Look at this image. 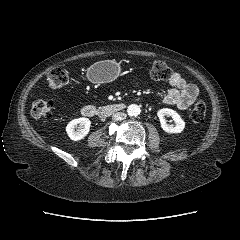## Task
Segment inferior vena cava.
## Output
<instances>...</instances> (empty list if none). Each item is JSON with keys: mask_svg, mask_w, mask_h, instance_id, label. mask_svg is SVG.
Wrapping results in <instances>:
<instances>
[{"mask_svg": "<svg viewBox=\"0 0 240 240\" xmlns=\"http://www.w3.org/2000/svg\"><path fill=\"white\" fill-rule=\"evenodd\" d=\"M125 118H126V114L123 112H117L112 115V119L114 121H121V120H124Z\"/></svg>", "mask_w": 240, "mask_h": 240, "instance_id": "obj_1", "label": "inferior vena cava"}]
</instances>
